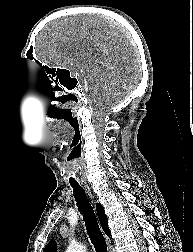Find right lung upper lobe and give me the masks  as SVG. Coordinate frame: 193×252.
<instances>
[{
	"label": "right lung upper lobe",
	"instance_id": "cb5924a9",
	"mask_svg": "<svg viewBox=\"0 0 193 252\" xmlns=\"http://www.w3.org/2000/svg\"><path fill=\"white\" fill-rule=\"evenodd\" d=\"M96 208L101 226L104 232L107 234V236H110L111 232L110 229L108 228V219L104 212V208L98 203L96 204ZM56 248H57L56 242L50 241L48 245L44 248L43 252H56Z\"/></svg>",
	"mask_w": 193,
	"mask_h": 252
}]
</instances>
